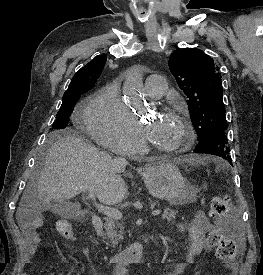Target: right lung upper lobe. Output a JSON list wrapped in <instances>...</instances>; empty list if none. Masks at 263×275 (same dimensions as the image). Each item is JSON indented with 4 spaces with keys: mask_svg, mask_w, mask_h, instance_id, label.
<instances>
[{
    "mask_svg": "<svg viewBox=\"0 0 263 275\" xmlns=\"http://www.w3.org/2000/svg\"><path fill=\"white\" fill-rule=\"evenodd\" d=\"M106 62V54L99 55L82 67L72 78L66 93L91 89L100 76Z\"/></svg>",
    "mask_w": 263,
    "mask_h": 275,
    "instance_id": "obj_1",
    "label": "right lung upper lobe"
}]
</instances>
